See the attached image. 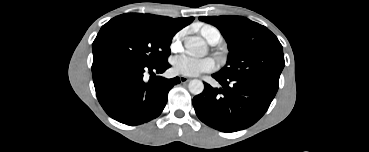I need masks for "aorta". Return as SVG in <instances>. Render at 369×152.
Returning <instances> with one entry per match:
<instances>
[{
	"mask_svg": "<svg viewBox=\"0 0 369 152\" xmlns=\"http://www.w3.org/2000/svg\"><path fill=\"white\" fill-rule=\"evenodd\" d=\"M185 48L192 54L205 55L207 53V45L200 37L189 36L184 39ZM188 89L193 95H199L204 90V84L201 80L193 79L188 84Z\"/></svg>",
	"mask_w": 369,
	"mask_h": 152,
	"instance_id": "obj_1",
	"label": "aorta"
}]
</instances>
